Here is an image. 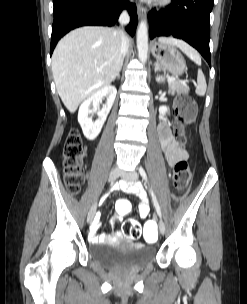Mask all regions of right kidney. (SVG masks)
<instances>
[{
    "label": "right kidney",
    "mask_w": 247,
    "mask_h": 304,
    "mask_svg": "<svg viewBox=\"0 0 247 304\" xmlns=\"http://www.w3.org/2000/svg\"><path fill=\"white\" fill-rule=\"evenodd\" d=\"M116 94L117 89L115 86L106 85L87 98L79 107L78 122L82 128L84 136L88 140H94L99 135L115 101ZM104 97L107 98L106 104L103 105L101 110L97 111L99 103ZM91 106L93 107L92 110L90 109ZM96 111L98 119L93 122L88 115Z\"/></svg>",
    "instance_id": "1"
}]
</instances>
